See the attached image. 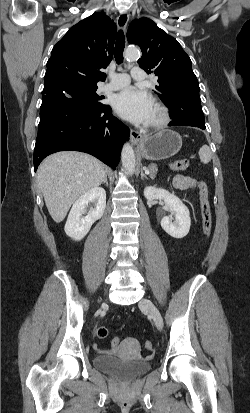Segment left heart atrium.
<instances>
[{"instance_id": "39dd6f15", "label": "left heart atrium", "mask_w": 250, "mask_h": 413, "mask_svg": "<svg viewBox=\"0 0 250 413\" xmlns=\"http://www.w3.org/2000/svg\"><path fill=\"white\" fill-rule=\"evenodd\" d=\"M113 106L115 111L127 120L136 124H148L153 100L145 91L128 87L115 95Z\"/></svg>"}]
</instances>
